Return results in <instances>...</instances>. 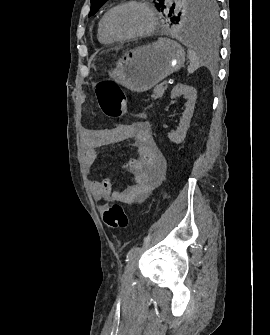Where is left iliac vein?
<instances>
[{
    "label": "left iliac vein",
    "mask_w": 270,
    "mask_h": 335,
    "mask_svg": "<svg viewBox=\"0 0 270 335\" xmlns=\"http://www.w3.org/2000/svg\"><path fill=\"white\" fill-rule=\"evenodd\" d=\"M136 264H137V255L129 261V263L127 264L124 270V273L122 275V285L123 286H128L131 283L133 273L136 268Z\"/></svg>",
    "instance_id": "left-iliac-vein-1"
}]
</instances>
